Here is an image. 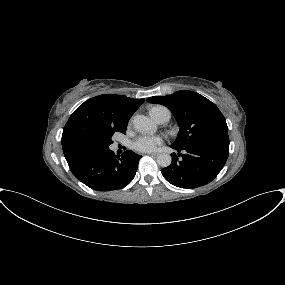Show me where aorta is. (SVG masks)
Listing matches in <instances>:
<instances>
[{
    "label": "aorta",
    "instance_id": "762f6f07",
    "mask_svg": "<svg viewBox=\"0 0 285 285\" xmlns=\"http://www.w3.org/2000/svg\"><path fill=\"white\" fill-rule=\"evenodd\" d=\"M134 127L141 132H155L157 127L152 120L144 115H136L133 119ZM172 162V158L167 153L159 154L157 163L161 167H168Z\"/></svg>",
    "mask_w": 285,
    "mask_h": 285
}]
</instances>
